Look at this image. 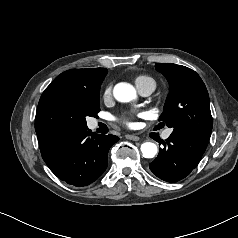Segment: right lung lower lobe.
Here are the masks:
<instances>
[{
	"label": "right lung lower lobe",
	"instance_id": "right-lung-lower-lobe-1",
	"mask_svg": "<svg viewBox=\"0 0 238 238\" xmlns=\"http://www.w3.org/2000/svg\"><path fill=\"white\" fill-rule=\"evenodd\" d=\"M88 127L70 128L52 139L39 143L41 155L51 171L62 181L86 186L106 170L108 151L119 138L92 135Z\"/></svg>",
	"mask_w": 238,
	"mask_h": 238
}]
</instances>
